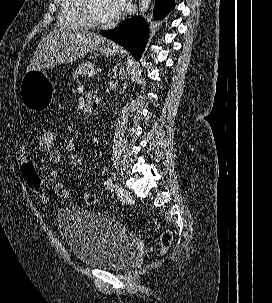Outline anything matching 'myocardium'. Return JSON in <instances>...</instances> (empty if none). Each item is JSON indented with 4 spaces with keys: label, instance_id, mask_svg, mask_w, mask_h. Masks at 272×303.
Wrapping results in <instances>:
<instances>
[{
    "label": "myocardium",
    "instance_id": "myocardium-1",
    "mask_svg": "<svg viewBox=\"0 0 272 303\" xmlns=\"http://www.w3.org/2000/svg\"><path fill=\"white\" fill-rule=\"evenodd\" d=\"M91 2L92 0H81L79 6L80 15L86 25L93 29H105L112 26L111 21L99 22L93 17L91 12Z\"/></svg>",
    "mask_w": 272,
    "mask_h": 303
}]
</instances>
